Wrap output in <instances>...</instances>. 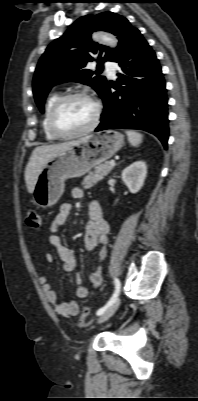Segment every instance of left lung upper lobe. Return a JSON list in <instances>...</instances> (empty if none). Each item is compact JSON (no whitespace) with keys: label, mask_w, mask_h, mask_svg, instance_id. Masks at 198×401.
<instances>
[{"label":"left lung upper lobe","mask_w":198,"mask_h":401,"mask_svg":"<svg viewBox=\"0 0 198 401\" xmlns=\"http://www.w3.org/2000/svg\"><path fill=\"white\" fill-rule=\"evenodd\" d=\"M129 21L115 13L104 12L98 15H86L75 21L65 34L53 41L40 58L34 79L33 94L40 111H44V102L49 90L56 84L76 81L90 85L101 96L107 80L100 76L105 61H115L126 46L132 32ZM105 30L118 37L116 49L93 43L91 33ZM97 55V71L85 69L88 61Z\"/></svg>","instance_id":"1"}]
</instances>
